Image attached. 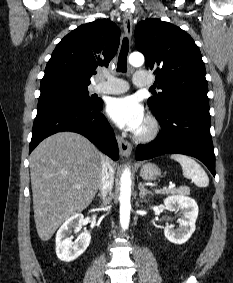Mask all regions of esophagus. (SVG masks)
I'll return each instance as SVG.
<instances>
[{
    "label": "esophagus",
    "mask_w": 233,
    "mask_h": 283,
    "mask_svg": "<svg viewBox=\"0 0 233 283\" xmlns=\"http://www.w3.org/2000/svg\"><path fill=\"white\" fill-rule=\"evenodd\" d=\"M123 26L126 36L128 38H131L133 31V20H132V14L130 12L125 13L123 19ZM117 141L121 156L129 157L132 152V145L121 136L117 137Z\"/></svg>",
    "instance_id": "obj_1"
}]
</instances>
